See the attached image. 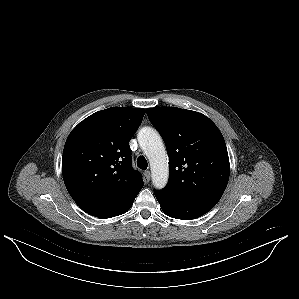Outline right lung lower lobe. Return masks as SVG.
Listing matches in <instances>:
<instances>
[{
	"instance_id": "obj_1",
	"label": "right lung lower lobe",
	"mask_w": 299,
	"mask_h": 299,
	"mask_svg": "<svg viewBox=\"0 0 299 299\" xmlns=\"http://www.w3.org/2000/svg\"><path fill=\"white\" fill-rule=\"evenodd\" d=\"M78 206L90 215L96 216L98 218H111L123 213H117L116 200L113 198H99L92 203H81ZM131 207V206H130ZM129 207V208H130ZM128 208V209H129ZM126 210L125 212H127ZM124 212V213H125Z\"/></svg>"
}]
</instances>
